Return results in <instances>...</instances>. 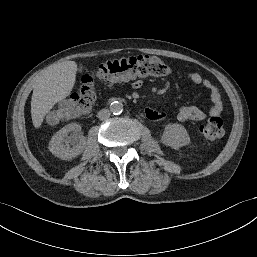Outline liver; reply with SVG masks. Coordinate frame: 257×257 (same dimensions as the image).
Returning a JSON list of instances; mask_svg holds the SVG:
<instances>
[{
  "mask_svg": "<svg viewBox=\"0 0 257 257\" xmlns=\"http://www.w3.org/2000/svg\"><path fill=\"white\" fill-rule=\"evenodd\" d=\"M77 64L65 61L52 65L35 85L31 99L33 126L39 128L54 105L66 98L76 80Z\"/></svg>",
  "mask_w": 257,
  "mask_h": 257,
  "instance_id": "6515ba94",
  "label": "liver"
}]
</instances>
